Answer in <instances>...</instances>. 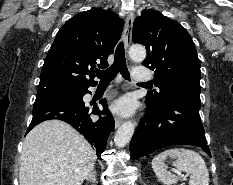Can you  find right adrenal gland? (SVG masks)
<instances>
[{
    "mask_svg": "<svg viewBox=\"0 0 233 185\" xmlns=\"http://www.w3.org/2000/svg\"><path fill=\"white\" fill-rule=\"evenodd\" d=\"M86 180L88 181H92V182H96L97 179H96V171H93L87 178Z\"/></svg>",
    "mask_w": 233,
    "mask_h": 185,
    "instance_id": "2a0ac1e0",
    "label": "right adrenal gland"
}]
</instances>
